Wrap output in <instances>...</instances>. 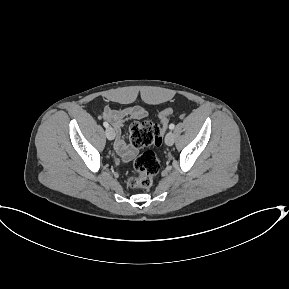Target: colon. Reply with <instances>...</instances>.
<instances>
[{
	"label": "colon",
	"mask_w": 289,
	"mask_h": 289,
	"mask_svg": "<svg viewBox=\"0 0 289 289\" xmlns=\"http://www.w3.org/2000/svg\"><path fill=\"white\" fill-rule=\"evenodd\" d=\"M173 112L172 108H167L159 114L163 126L167 124ZM130 135L136 147L160 146L163 139V128L152 120L134 122L130 127ZM159 168L160 163L156 154L153 151H145L134 162L135 175L128 177V186L133 189L150 188Z\"/></svg>",
	"instance_id": "colon-1"
}]
</instances>
